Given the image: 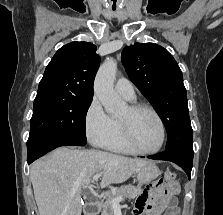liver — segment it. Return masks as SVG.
<instances>
[{
  "label": "liver",
  "instance_id": "obj_1",
  "mask_svg": "<svg viewBox=\"0 0 223 215\" xmlns=\"http://www.w3.org/2000/svg\"><path fill=\"white\" fill-rule=\"evenodd\" d=\"M148 159H132L99 149L57 147L49 157L30 167L34 197L40 215H81V189L90 177L103 173L100 187L126 181ZM94 183V181H93Z\"/></svg>",
  "mask_w": 223,
  "mask_h": 215
}]
</instances>
